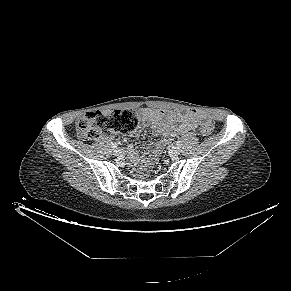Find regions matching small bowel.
I'll list each match as a JSON object with an SVG mask.
<instances>
[{"label": "small bowel", "mask_w": 291, "mask_h": 291, "mask_svg": "<svg viewBox=\"0 0 291 291\" xmlns=\"http://www.w3.org/2000/svg\"><path fill=\"white\" fill-rule=\"evenodd\" d=\"M207 119L195 111H168L164 109L145 108L142 110V123L153 128L161 140L154 143L142 156L137 155L132 147L129 153L133 161L150 163L160 152L162 146L176 135L185 134L199 127Z\"/></svg>", "instance_id": "1"}]
</instances>
